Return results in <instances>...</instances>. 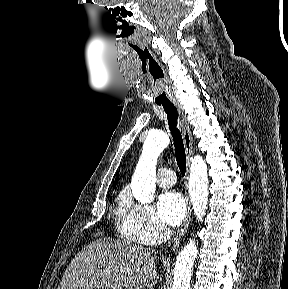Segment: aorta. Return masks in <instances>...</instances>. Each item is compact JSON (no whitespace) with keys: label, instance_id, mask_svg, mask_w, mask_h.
Wrapping results in <instances>:
<instances>
[{"label":"aorta","instance_id":"aorta-1","mask_svg":"<svg viewBox=\"0 0 288 289\" xmlns=\"http://www.w3.org/2000/svg\"><path fill=\"white\" fill-rule=\"evenodd\" d=\"M169 137L164 132L149 133L137 163L133 179V196L141 203H151L154 200L156 188V163L161 152L168 146ZM189 194L194 214L202 221L208 204V174L207 165L199 155L191 160ZM198 247L190 240L178 253L172 289H190V279Z\"/></svg>","mask_w":288,"mask_h":289}]
</instances>
